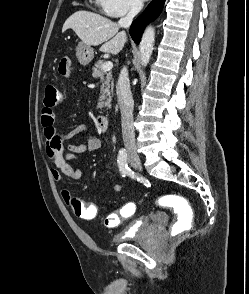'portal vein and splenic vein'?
I'll return each mask as SVG.
<instances>
[{"label":"portal vein and splenic vein","instance_id":"portal-vein-and-splenic-vein-1","mask_svg":"<svg viewBox=\"0 0 249 294\" xmlns=\"http://www.w3.org/2000/svg\"><path fill=\"white\" fill-rule=\"evenodd\" d=\"M112 67H113V63H112L111 61H107V62H105V63L103 64V66H102V70H103L104 72H106V71L111 70Z\"/></svg>","mask_w":249,"mask_h":294}]
</instances>
